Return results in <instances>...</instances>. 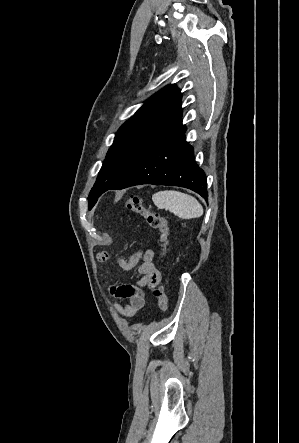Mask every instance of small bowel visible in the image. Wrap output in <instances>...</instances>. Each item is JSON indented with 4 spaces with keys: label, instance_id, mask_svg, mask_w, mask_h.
Wrapping results in <instances>:
<instances>
[{
    "label": "small bowel",
    "instance_id": "1",
    "mask_svg": "<svg viewBox=\"0 0 299 443\" xmlns=\"http://www.w3.org/2000/svg\"><path fill=\"white\" fill-rule=\"evenodd\" d=\"M97 258L100 262H104L109 259V255L101 252ZM153 261L154 252L151 249L136 252L127 259L115 255V262L120 269L129 271L137 266L140 275L139 281L135 284H117L109 287L110 294L123 301V304L114 303L115 310L122 317H134L145 304V288L153 287L160 282V272Z\"/></svg>",
    "mask_w": 299,
    "mask_h": 443
}]
</instances>
